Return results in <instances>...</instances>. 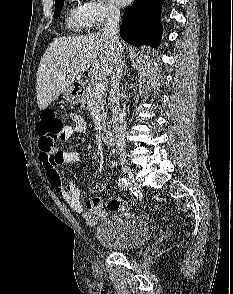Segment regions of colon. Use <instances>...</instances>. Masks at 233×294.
<instances>
[{"mask_svg": "<svg viewBox=\"0 0 233 294\" xmlns=\"http://www.w3.org/2000/svg\"><path fill=\"white\" fill-rule=\"evenodd\" d=\"M64 123L57 116L54 110H44L36 124V133L39 136V146L41 151L52 153L54 151L55 142L61 139L64 132ZM123 204L117 199H110L107 202V208L110 211L123 209Z\"/></svg>", "mask_w": 233, "mask_h": 294, "instance_id": "obj_1", "label": "colon"}]
</instances>
